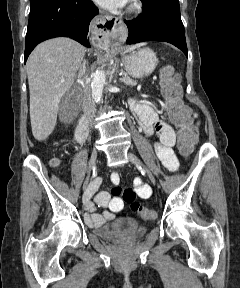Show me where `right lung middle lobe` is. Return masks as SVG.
Returning <instances> with one entry per match:
<instances>
[{
	"mask_svg": "<svg viewBox=\"0 0 240 288\" xmlns=\"http://www.w3.org/2000/svg\"><path fill=\"white\" fill-rule=\"evenodd\" d=\"M45 0H31V8L37 6L38 4H40L41 2H43Z\"/></svg>",
	"mask_w": 240,
	"mask_h": 288,
	"instance_id": "1",
	"label": "right lung middle lobe"
}]
</instances>
